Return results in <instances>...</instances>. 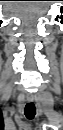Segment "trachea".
<instances>
[{"label": "trachea", "instance_id": "1", "mask_svg": "<svg viewBox=\"0 0 63 130\" xmlns=\"http://www.w3.org/2000/svg\"><path fill=\"white\" fill-rule=\"evenodd\" d=\"M27 119L31 120L35 117L36 108L33 102L27 103L24 110Z\"/></svg>", "mask_w": 63, "mask_h": 130}]
</instances>
